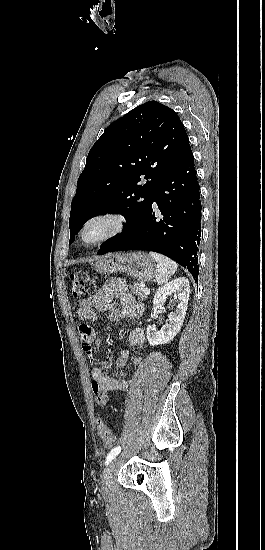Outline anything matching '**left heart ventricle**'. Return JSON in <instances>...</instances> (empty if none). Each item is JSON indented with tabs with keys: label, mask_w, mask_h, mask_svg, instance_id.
Segmentation results:
<instances>
[{
	"label": "left heart ventricle",
	"mask_w": 265,
	"mask_h": 550,
	"mask_svg": "<svg viewBox=\"0 0 265 550\" xmlns=\"http://www.w3.org/2000/svg\"><path fill=\"white\" fill-rule=\"evenodd\" d=\"M103 230L104 228L102 226H95L87 233L86 238L89 240L94 239L98 237L103 232Z\"/></svg>",
	"instance_id": "obj_1"
}]
</instances>
